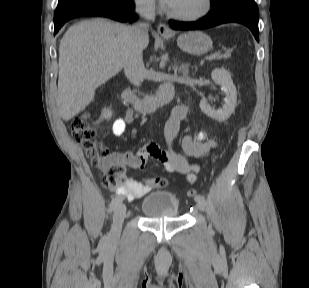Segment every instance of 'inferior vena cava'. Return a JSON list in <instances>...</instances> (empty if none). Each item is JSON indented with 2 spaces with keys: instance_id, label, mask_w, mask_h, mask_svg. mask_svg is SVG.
<instances>
[{
  "instance_id": "obj_1",
  "label": "inferior vena cava",
  "mask_w": 309,
  "mask_h": 288,
  "mask_svg": "<svg viewBox=\"0 0 309 288\" xmlns=\"http://www.w3.org/2000/svg\"><path fill=\"white\" fill-rule=\"evenodd\" d=\"M135 11L142 20L130 27L131 44L124 57V72L133 85L140 86L145 71L142 45L143 39L148 35L150 22L155 20L154 0H136Z\"/></svg>"
}]
</instances>
